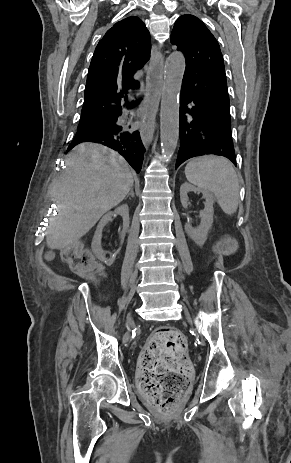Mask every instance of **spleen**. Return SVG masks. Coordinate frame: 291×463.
<instances>
[{
    "instance_id": "1",
    "label": "spleen",
    "mask_w": 291,
    "mask_h": 463,
    "mask_svg": "<svg viewBox=\"0 0 291 463\" xmlns=\"http://www.w3.org/2000/svg\"><path fill=\"white\" fill-rule=\"evenodd\" d=\"M187 180L200 189L214 193L223 212L233 215L239 203V182L232 164L224 157L192 159L185 167Z\"/></svg>"
}]
</instances>
